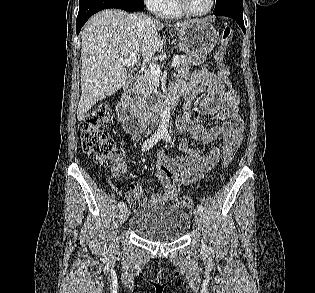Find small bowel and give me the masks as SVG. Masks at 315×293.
<instances>
[{"instance_id": "c3829d8e", "label": "small bowel", "mask_w": 315, "mask_h": 293, "mask_svg": "<svg viewBox=\"0 0 315 293\" xmlns=\"http://www.w3.org/2000/svg\"><path fill=\"white\" fill-rule=\"evenodd\" d=\"M172 91L185 98V112L179 117L176 125L178 134L189 133V138L180 142V149L185 156L167 157L160 151L156 161L155 175L163 191L155 194L150 200L144 190L137 184L127 191V202L136 211L148 204L176 202L180 188L194 183L206 172L210 171L222 158L230 160L236 153L243 138L244 122L239 116L237 92L230 93L227 85H222L221 79L209 71H196L187 82L178 81L172 86ZM201 93L205 97L200 102L204 114L214 116L221 123L214 127H204L195 121L191 115L193 100ZM138 135H134L136 140ZM221 138L222 146L212 148L208 153H201L193 148V142L210 144ZM124 170V166H121Z\"/></svg>"}]
</instances>
